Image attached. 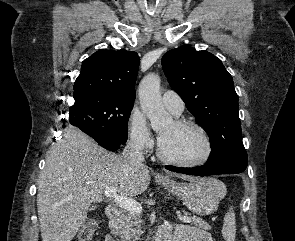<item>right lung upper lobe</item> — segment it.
<instances>
[{
    "label": "right lung upper lobe",
    "mask_w": 295,
    "mask_h": 241,
    "mask_svg": "<svg viewBox=\"0 0 295 241\" xmlns=\"http://www.w3.org/2000/svg\"><path fill=\"white\" fill-rule=\"evenodd\" d=\"M140 58L126 50H99L85 59L74 83L75 101L92 97L135 99Z\"/></svg>",
    "instance_id": "right-lung-upper-lobe-1"
}]
</instances>
